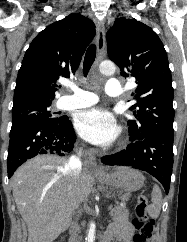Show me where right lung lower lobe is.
I'll list each match as a JSON object with an SVG mask.
<instances>
[{
  "instance_id": "right-lung-lower-lobe-1",
  "label": "right lung lower lobe",
  "mask_w": 187,
  "mask_h": 242,
  "mask_svg": "<svg viewBox=\"0 0 187 242\" xmlns=\"http://www.w3.org/2000/svg\"><path fill=\"white\" fill-rule=\"evenodd\" d=\"M76 135L66 117L61 123H24L11 127L7 157L8 178L26 160L38 154L64 156L71 152Z\"/></svg>"
}]
</instances>
